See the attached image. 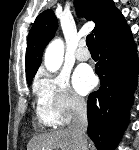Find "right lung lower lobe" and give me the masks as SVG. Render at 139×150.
<instances>
[{"instance_id": "obj_1", "label": "right lung lower lobe", "mask_w": 139, "mask_h": 150, "mask_svg": "<svg viewBox=\"0 0 139 150\" xmlns=\"http://www.w3.org/2000/svg\"><path fill=\"white\" fill-rule=\"evenodd\" d=\"M96 43L100 59L95 70L101 87L88 97L87 132L98 150H113L128 125L137 86L138 57L131 30L120 12Z\"/></svg>"}]
</instances>
